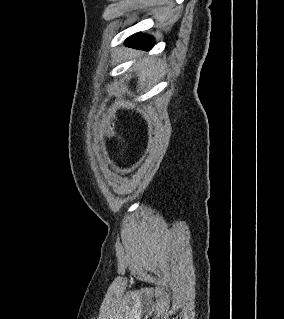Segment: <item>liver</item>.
Masks as SVG:
<instances>
[{
    "label": "liver",
    "instance_id": "6515ba94",
    "mask_svg": "<svg viewBox=\"0 0 284 319\" xmlns=\"http://www.w3.org/2000/svg\"><path fill=\"white\" fill-rule=\"evenodd\" d=\"M147 76H150L149 69L146 67H142L138 83H140L142 85L145 82Z\"/></svg>",
    "mask_w": 284,
    "mask_h": 319
}]
</instances>
